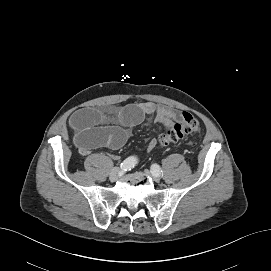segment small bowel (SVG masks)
<instances>
[{
  "mask_svg": "<svg viewBox=\"0 0 271 271\" xmlns=\"http://www.w3.org/2000/svg\"><path fill=\"white\" fill-rule=\"evenodd\" d=\"M154 116L162 125L180 122L182 115L168 107L153 103L128 105L108 110L81 109L72 114L74 143L82 155L100 147L118 149L127 141L130 129L145 117ZM153 143L149 145L152 148Z\"/></svg>",
  "mask_w": 271,
  "mask_h": 271,
  "instance_id": "1",
  "label": "small bowel"
}]
</instances>
